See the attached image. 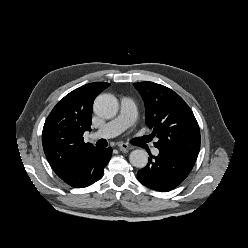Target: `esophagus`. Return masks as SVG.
I'll list each match as a JSON object with an SVG mask.
<instances>
[{"label": "esophagus", "instance_id": "1", "mask_svg": "<svg viewBox=\"0 0 248 248\" xmlns=\"http://www.w3.org/2000/svg\"><path fill=\"white\" fill-rule=\"evenodd\" d=\"M118 147H119V150L122 151V152H127V151H129L130 149H132L131 146H129L128 144H125V143H120V144L118 145Z\"/></svg>", "mask_w": 248, "mask_h": 248}]
</instances>
